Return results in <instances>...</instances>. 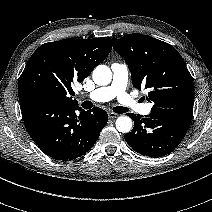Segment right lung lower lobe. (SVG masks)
Segmentation results:
<instances>
[{"instance_id": "obj_1", "label": "right lung lower lobe", "mask_w": 212, "mask_h": 212, "mask_svg": "<svg viewBox=\"0 0 212 212\" xmlns=\"http://www.w3.org/2000/svg\"><path fill=\"white\" fill-rule=\"evenodd\" d=\"M78 105L41 103L22 110L29 135L49 157L68 161L85 155L96 143L108 121L98 107L84 111Z\"/></svg>"}]
</instances>
